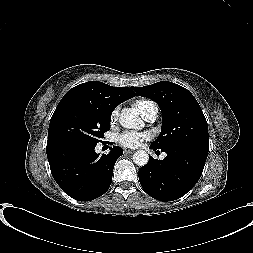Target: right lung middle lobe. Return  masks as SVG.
Returning a JSON list of instances; mask_svg holds the SVG:
<instances>
[{
  "mask_svg": "<svg viewBox=\"0 0 253 253\" xmlns=\"http://www.w3.org/2000/svg\"><path fill=\"white\" fill-rule=\"evenodd\" d=\"M111 113L100 105L81 100L60 102L50 120L47 147L68 142L97 144L110 129Z\"/></svg>",
  "mask_w": 253,
  "mask_h": 253,
  "instance_id": "1",
  "label": "right lung middle lobe"
}]
</instances>
